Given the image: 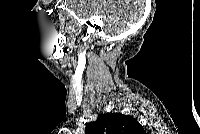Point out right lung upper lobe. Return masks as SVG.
I'll list each match as a JSON object with an SVG mask.
<instances>
[{
	"instance_id": "obj_1",
	"label": "right lung upper lobe",
	"mask_w": 200,
	"mask_h": 134,
	"mask_svg": "<svg viewBox=\"0 0 200 134\" xmlns=\"http://www.w3.org/2000/svg\"><path fill=\"white\" fill-rule=\"evenodd\" d=\"M144 130L134 118L121 113L101 114L86 127V134H142Z\"/></svg>"
}]
</instances>
